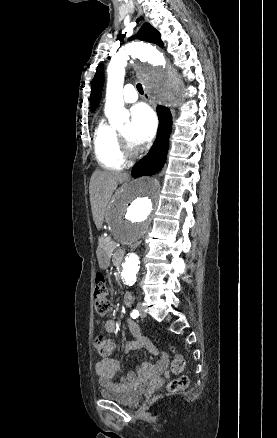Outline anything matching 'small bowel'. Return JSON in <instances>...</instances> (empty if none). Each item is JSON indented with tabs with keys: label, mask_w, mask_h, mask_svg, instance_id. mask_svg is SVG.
I'll use <instances>...</instances> for the list:
<instances>
[{
	"label": "small bowel",
	"mask_w": 277,
	"mask_h": 438,
	"mask_svg": "<svg viewBox=\"0 0 277 438\" xmlns=\"http://www.w3.org/2000/svg\"><path fill=\"white\" fill-rule=\"evenodd\" d=\"M132 302L130 294L125 296V304L129 306ZM104 328L107 333H114L116 331V322L114 319H108L104 323ZM129 329L132 333L134 340L128 342L125 345V352L128 353L131 350H138L146 348L153 355L158 357L155 364L144 362L139 366L138 372H128L124 374L122 372L121 364L113 359H102L95 365V372L98 378V383L101 387L124 392L134 387L140 380V375H147L149 373H162L167 370L169 366V357L165 352H158L152 344L142 335L138 326L130 322ZM118 376L119 379L115 380Z\"/></svg>",
	"instance_id": "small-bowel-1"
}]
</instances>
